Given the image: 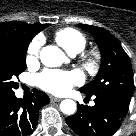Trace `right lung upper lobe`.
<instances>
[{
	"instance_id": "cb5924a9",
	"label": "right lung upper lobe",
	"mask_w": 136,
	"mask_h": 136,
	"mask_svg": "<svg viewBox=\"0 0 136 136\" xmlns=\"http://www.w3.org/2000/svg\"><path fill=\"white\" fill-rule=\"evenodd\" d=\"M47 24H27L23 22H3L0 23V40H9L18 37L22 41L30 42L32 38Z\"/></svg>"
}]
</instances>
